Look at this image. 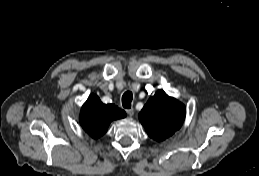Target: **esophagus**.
Wrapping results in <instances>:
<instances>
[{
    "label": "esophagus",
    "instance_id": "obj_1",
    "mask_svg": "<svg viewBox=\"0 0 259 176\" xmlns=\"http://www.w3.org/2000/svg\"><path fill=\"white\" fill-rule=\"evenodd\" d=\"M127 113H128L129 116H133L134 115V109L133 108L128 109Z\"/></svg>",
    "mask_w": 259,
    "mask_h": 176
}]
</instances>
